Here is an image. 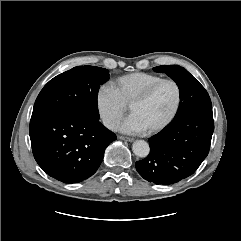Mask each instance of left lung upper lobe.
<instances>
[{
	"label": "left lung upper lobe",
	"mask_w": 241,
	"mask_h": 241,
	"mask_svg": "<svg viewBox=\"0 0 241 241\" xmlns=\"http://www.w3.org/2000/svg\"><path fill=\"white\" fill-rule=\"evenodd\" d=\"M155 72L165 73L171 77L180 90V104L171 123L185 118L195 112L212 109L207 91L186 69L178 65L154 67Z\"/></svg>",
	"instance_id": "5c2ea615"
}]
</instances>
